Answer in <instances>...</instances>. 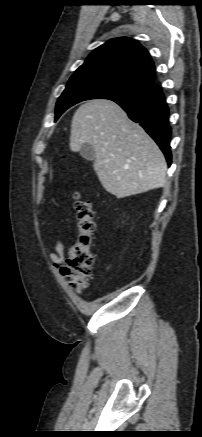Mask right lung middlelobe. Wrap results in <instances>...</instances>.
Masks as SVG:
<instances>
[{
	"mask_svg": "<svg viewBox=\"0 0 202 437\" xmlns=\"http://www.w3.org/2000/svg\"><path fill=\"white\" fill-rule=\"evenodd\" d=\"M154 84L109 71L75 72L56 105L55 120L69 107L89 99L132 97L151 89Z\"/></svg>",
	"mask_w": 202,
	"mask_h": 437,
	"instance_id": "dd1d6c3e",
	"label": "right lung middle lobe"
}]
</instances>
